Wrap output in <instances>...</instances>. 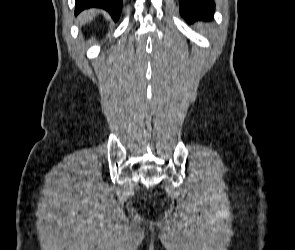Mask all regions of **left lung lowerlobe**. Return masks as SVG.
Wrapping results in <instances>:
<instances>
[{"label": "left lung lower lobe", "mask_w": 295, "mask_h": 250, "mask_svg": "<svg viewBox=\"0 0 295 250\" xmlns=\"http://www.w3.org/2000/svg\"><path fill=\"white\" fill-rule=\"evenodd\" d=\"M214 7L213 0H180V13L188 21L211 18Z\"/></svg>", "instance_id": "obj_1"}]
</instances>
